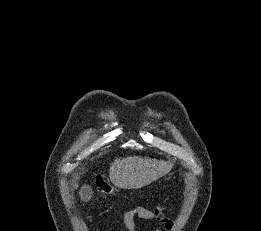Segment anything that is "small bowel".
<instances>
[{"label":"small bowel","instance_id":"obj_1","mask_svg":"<svg viewBox=\"0 0 261 231\" xmlns=\"http://www.w3.org/2000/svg\"><path fill=\"white\" fill-rule=\"evenodd\" d=\"M136 218H141L147 221H160L165 224V227L170 230L173 222L166 218L163 209L150 210L144 206H136L122 215V222L128 231H136ZM153 231H160L155 228Z\"/></svg>","mask_w":261,"mask_h":231}]
</instances>
